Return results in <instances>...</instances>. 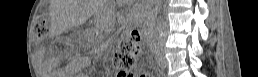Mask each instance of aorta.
I'll return each mask as SVG.
<instances>
[{"label": "aorta", "mask_w": 258, "mask_h": 77, "mask_svg": "<svg viewBox=\"0 0 258 77\" xmlns=\"http://www.w3.org/2000/svg\"><path fill=\"white\" fill-rule=\"evenodd\" d=\"M160 9H161V0H158L151 15L152 19H155L157 17L158 13L160 12Z\"/></svg>", "instance_id": "obj_1"}]
</instances>
